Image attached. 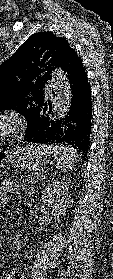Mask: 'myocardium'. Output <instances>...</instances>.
Returning a JSON list of instances; mask_svg holds the SVG:
<instances>
[{
  "label": "myocardium",
  "instance_id": "1",
  "mask_svg": "<svg viewBox=\"0 0 113 279\" xmlns=\"http://www.w3.org/2000/svg\"><path fill=\"white\" fill-rule=\"evenodd\" d=\"M24 128L22 117L14 110L0 112V138L18 135Z\"/></svg>",
  "mask_w": 113,
  "mask_h": 279
}]
</instances>
